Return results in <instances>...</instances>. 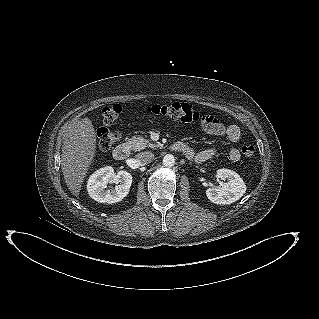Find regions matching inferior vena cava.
Listing matches in <instances>:
<instances>
[{
	"label": "inferior vena cava",
	"mask_w": 319,
	"mask_h": 319,
	"mask_svg": "<svg viewBox=\"0 0 319 319\" xmlns=\"http://www.w3.org/2000/svg\"><path fill=\"white\" fill-rule=\"evenodd\" d=\"M136 162L139 165H146L152 162L154 159V154L150 151H143L141 153H138L136 156Z\"/></svg>",
	"instance_id": "obj_1"
}]
</instances>
